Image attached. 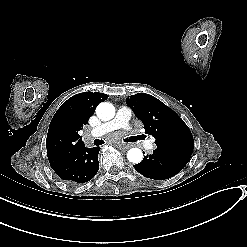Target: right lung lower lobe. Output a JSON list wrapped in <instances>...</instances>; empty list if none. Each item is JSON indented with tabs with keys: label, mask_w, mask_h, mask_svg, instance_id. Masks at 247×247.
Wrapping results in <instances>:
<instances>
[{
	"label": "right lung lower lobe",
	"mask_w": 247,
	"mask_h": 247,
	"mask_svg": "<svg viewBox=\"0 0 247 247\" xmlns=\"http://www.w3.org/2000/svg\"><path fill=\"white\" fill-rule=\"evenodd\" d=\"M100 147L82 146L62 162L51 166L63 180L84 183L91 180L99 169L98 153Z\"/></svg>",
	"instance_id": "1"
}]
</instances>
